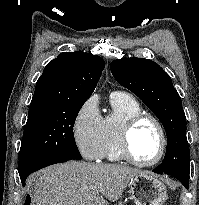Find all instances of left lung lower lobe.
Returning <instances> with one entry per match:
<instances>
[{
	"instance_id": "obj_1",
	"label": "left lung lower lobe",
	"mask_w": 199,
	"mask_h": 205,
	"mask_svg": "<svg viewBox=\"0 0 199 205\" xmlns=\"http://www.w3.org/2000/svg\"><path fill=\"white\" fill-rule=\"evenodd\" d=\"M154 171V170H153ZM155 172V171H154ZM157 173V172H155ZM160 174V173H159ZM187 189L189 186V180L183 179V178H177Z\"/></svg>"
}]
</instances>
